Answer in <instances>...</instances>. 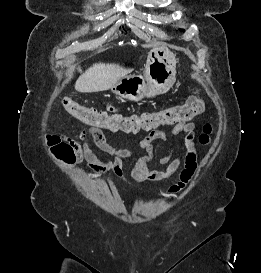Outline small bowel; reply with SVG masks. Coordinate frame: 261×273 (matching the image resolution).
I'll use <instances>...</instances> for the list:
<instances>
[{
	"label": "small bowel",
	"instance_id": "small-bowel-1",
	"mask_svg": "<svg viewBox=\"0 0 261 273\" xmlns=\"http://www.w3.org/2000/svg\"><path fill=\"white\" fill-rule=\"evenodd\" d=\"M108 114L121 116L120 111L108 105L106 111ZM195 125L192 122L175 124L171 130V136L184 134V144L186 151L183 156H172V151L160 158L159 162L165 165L164 170H151L149 163L153 159V143L156 140L167 141L169 136L160 129H153L147 136L142 138L138 143V148L143 152L136 160L131 170V177L135 182L161 181L173 175L183 163V169L179 174V182L172 186L168 194L174 195L185 188V186L193 178L197 169V151L194 143ZM81 144L72 141V146L75 154L74 163L86 161L87 169L90 174H107L112 173L117 179L125 184L130 182L125 178L123 172V161L131 158L135 151L129 148H115L111 146L100 129L96 126H91L84 129L77 138ZM92 140L95 145L104 153L111 155L110 160L101 159L90 148L89 141ZM142 192H147L146 189L140 188Z\"/></svg>",
	"mask_w": 261,
	"mask_h": 273
}]
</instances>
